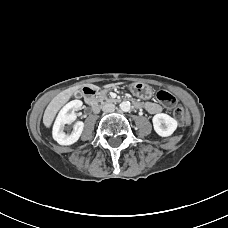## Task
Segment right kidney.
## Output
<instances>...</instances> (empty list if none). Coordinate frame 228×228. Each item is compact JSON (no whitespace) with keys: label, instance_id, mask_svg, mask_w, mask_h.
Segmentation results:
<instances>
[{"label":"right kidney","instance_id":"1","mask_svg":"<svg viewBox=\"0 0 228 228\" xmlns=\"http://www.w3.org/2000/svg\"><path fill=\"white\" fill-rule=\"evenodd\" d=\"M82 101L73 100L67 103L59 112L56 121L53 126L52 135L54 140H56L60 145H72L78 141L80 138L84 123L78 121L74 125V131L68 135L64 132V127L66 124H71L75 121L78 111L82 107Z\"/></svg>","mask_w":228,"mask_h":228}]
</instances>
